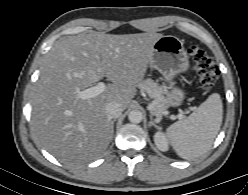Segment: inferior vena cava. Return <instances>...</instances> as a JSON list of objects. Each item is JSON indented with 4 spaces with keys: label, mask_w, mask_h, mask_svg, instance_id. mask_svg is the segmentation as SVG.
Here are the masks:
<instances>
[{
    "label": "inferior vena cava",
    "mask_w": 248,
    "mask_h": 195,
    "mask_svg": "<svg viewBox=\"0 0 248 195\" xmlns=\"http://www.w3.org/2000/svg\"><path fill=\"white\" fill-rule=\"evenodd\" d=\"M122 111V106L117 102H110L105 107V112L110 119L118 118L122 114Z\"/></svg>",
    "instance_id": "obj_1"
}]
</instances>
